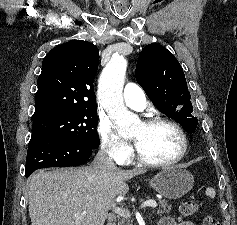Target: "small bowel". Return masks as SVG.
Segmentation results:
<instances>
[{
    "mask_svg": "<svg viewBox=\"0 0 237 225\" xmlns=\"http://www.w3.org/2000/svg\"><path fill=\"white\" fill-rule=\"evenodd\" d=\"M158 225H196L190 221H176L172 217H164L160 220Z\"/></svg>",
    "mask_w": 237,
    "mask_h": 225,
    "instance_id": "1",
    "label": "small bowel"
}]
</instances>
